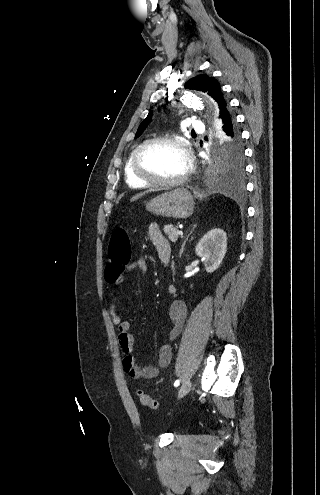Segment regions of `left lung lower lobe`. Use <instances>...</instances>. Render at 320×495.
<instances>
[{"instance_id": "obj_1", "label": "left lung lower lobe", "mask_w": 320, "mask_h": 495, "mask_svg": "<svg viewBox=\"0 0 320 495\" xmlns=\"http://www.w3.org/2000/svg\"><path fill=\"white\" fill-rule=\"evenodd\" d=\"M217 125L220 135L230 134L232 132V129L236 124H235V118L230 113L229 109H227L221 115H219Z\"/></svg>"}]
</instances>
